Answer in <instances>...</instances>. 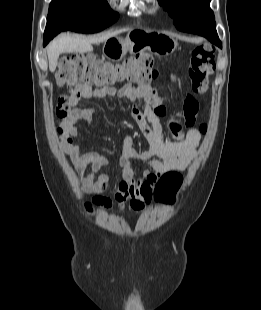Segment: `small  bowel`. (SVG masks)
I'll use <instances>...</instances> for the list:
<instances>
[{
	"label": "small bowel",
	"instance_id": "obj_1",
	"mask_svg": "<svg viewBox=\"0 0 261 310\" xmlns=\"http://www.w3.org/2000/svg\"><path fill=\"white\" fill-rule=\"evenodd\" d=\"M151 94L152 88L148 84L138 86L127 84L120 89L113 87L93 89L87 85H78L71 91V99L73 104L77 105L81 104L83 98L92 97L127 98L131 102H136L139 98ZM198 111V100L194 95L188 94L183 101L182 124L172 125L174 139L165 141L160 122L165 109L159 100L155 99L154 106H146L143 109L134 104L132 114L146 136L149 148L138 151L130 136H125L122 140V151L116 159L121 181L114 194L120 208L128 204L136 212L144 210L152 200L155 186L165 173L187 168L196 154L201 138V132L193 128ZM93 112L91 107L78 106L65 118L63 128L68 154L82 189L89 193L100 194L108 188L110 178L115 171L97 174L103 167L109 165L111 160L97 152H83L74 142V138L78 135V122L90 123ZM184 127L189 128L186 133L182 132ZM134 160H140L145 165L141 176H137V169L132 164ZM86 169H89V173L83 176Z\"/></svg>",
	"mask_w": 261,
	"mask_h": 310
}]
</instances>
